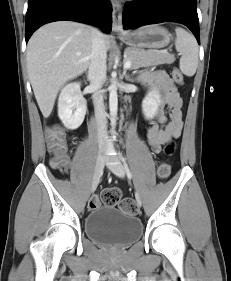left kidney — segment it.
I'll use <instances>...</instances> for the list:
<instances>
[{"label": "left kidney", "instance_id": "5707ae66", "mask_svg": "<svg viewBox=\"0 0 231 281\" xmlns=\"http://www.w3.org/2000/svg\"><path fill=\"white\" fill-rule=\"evenodd\" d=\"M161 104V96L155 89L151 90L142 101V112L147 120L153 119Z\"/></svg>", "mask_w": 231, "mask_h": 281}]
</instances>
